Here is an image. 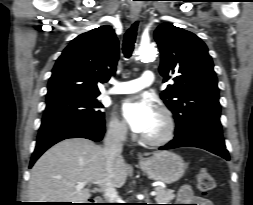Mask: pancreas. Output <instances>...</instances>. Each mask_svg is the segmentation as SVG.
Here are the masks:
<instances>
[{
	"label": "pancreas",
	"instance_id": "pancreas-1",
	"mask_svg": "<svg viewBox=\"0 0 253 205\" xmlns=\"http://www.w3.org/2000/svg\"><path fill=\"white\" fill-rule=\"evenodd\" d=\"M155 192H156L155 201L158 204H168L175 197L173 190H167L162 186L155 187Z\"/></svg>",
	"mask_w": 253,
	"mask_h": 205
}]
</instances>
